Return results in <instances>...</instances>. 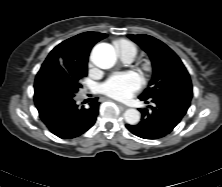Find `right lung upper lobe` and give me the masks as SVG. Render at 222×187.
Returning a JSON list of instances; mask_svg holds the SVG:
<instances>
[{"mask_svg": "<svg viewBox=\"0 0 222 187\" xmlns=\"http://www.w3.org/2000/svg\"><path fill=\"white\" fill-rule=\"evenodd\" d=\"M107 34L98 32H84L69 38L57 45L43 63L50 66L60 60L76 63H87L91 48L95 43L105 38Z\"/></svg>", "mask_w": 222, "mask_h": 187, "instance_id": "right-lung-upper-lobe-1", "label": "right lung upper lobe"}]
</instances>
